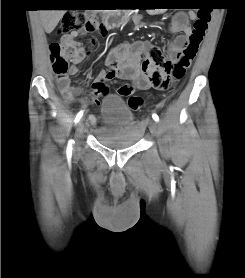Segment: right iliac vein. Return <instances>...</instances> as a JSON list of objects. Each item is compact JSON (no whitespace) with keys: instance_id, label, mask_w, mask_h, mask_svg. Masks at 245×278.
I'll use <instances>...</instances> for the list:
<instances>
[{"instance_id":"1","label":"right iliac vein","mask_w":245,"mask_h":278,"mask_svg":"<svg viewBox=\"0 0 245 278\" xmlns=\"http://www.w3.org/2000/svg\"><path fill=\"white\" fill-rule=\"evenodd\" d=\"M84 132V124L83 120H80L75 132V144L73 147L74 152H78L80 150V139L82 137V134Z\"/></svg>"}]
</instances>
